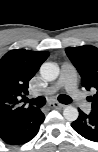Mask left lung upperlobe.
<instances>
[{"label":"left lung upper lobe","mask_w":98,"mask_h":152,"mask_svg":"<svg viewBox=\"0 0 98 152\" xmlns=\"http://www.w3.org/2000/svg\"><path fill=\"white\" fill-rule=\"evenodd\" d=\"M65 52L81 76V84L93 91L92 112L98 114V48L91 45L68 47Z\"/></svg>","instance_id":"obj_1"}]
</instances>
